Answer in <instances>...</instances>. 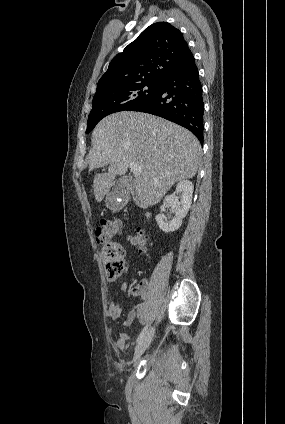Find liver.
Returning <instances> with one entry per match:
<instances>
[{
  "label": "liver",
  "instance_id": "liver-1",
  "mask_svg": "<svg viewBox=\"0 0 285 424\" xmlns=\"http://www.w3.org/2000/svg\"><path fill=\"white\" fill-rule=\"evenodd\" d=\"M91 142L89 171L109 165L107 173L93 180L97 202L133 162L142 169L134 185L139 201L155 205L176 182L195 176L201 156V145L189 130L141 112L107 116L93 130Z\"/></svg>",
  "mask_w": 285,
  "mask_h": 424
}]
</instances>
